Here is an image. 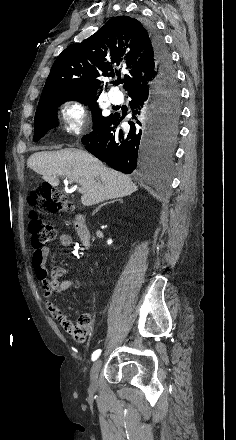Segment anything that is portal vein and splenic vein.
<instances>
[{
    "label": "portal vein and splenic vein",
    "mask_w": 236,
    "mask_h": 440,
    "mask_svg": "<svg viewBox=\"0 0 236 440\" xmlns=\"http://www.w3.org/2000/svg\"><path fill=\"white\" fill-rule=\"evenodd\" d=\"M65 182H68V180L66 179ZM69 182L72 183V181H69ZM77 189H78V191H79L80 193L83 192L82 189H80V188H77Z\"/></svg>",
    "instance_id": "obj_1"
}]
</instances>
